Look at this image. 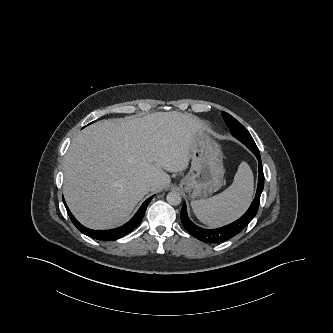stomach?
Instances as JSON below:
<instances>
[{
	"label": "stomach",
	"mask_w": 333,
	"mask_h": 333,
	"mask_svg": "<svg viewBox=\"0 0 333 333\" xmlns=\"http://www.w3.org/2000/svg\"><path fill=\"white\" fill-rule=\"evenodd\" d=\"M191 168L180 181V187L192 201L203 200L219 190L224 169L220 146L205 132L195 136L190 150Z\"/></svg>",
	"instance_id": "0dacf381"
}]
</instances>
